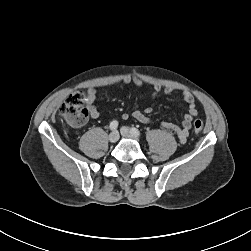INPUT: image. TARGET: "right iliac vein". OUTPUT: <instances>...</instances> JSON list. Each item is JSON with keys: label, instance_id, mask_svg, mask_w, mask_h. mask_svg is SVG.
<instances>
[{"label": "right iliac vein", "instance_id": "obj_1", "mask_svg": "<svg viewBox=\"0 0 251 251\" xmlns=\"http://www.w3.org/2000/svg\"><path fill=\"white\" fill-rule=\"evenodd\" d=\"M119 139V134L117 131H112L110 134H109V141L111 143H115L117 142Z\"/></svg>", "mask_w": 251, "mask_h": 251}]
</instances>
